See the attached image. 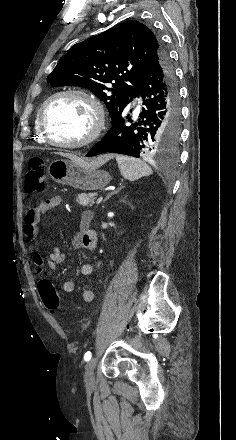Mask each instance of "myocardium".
<instances>
[{
	"label": "myocardium",
	"instance_id": "obj_1",
	"mask_svg": "<svg viewBox=\"0 0 236 440\" xmlns=\"http://www.w3.org/2000/svg\"><path fill=\"white\" fill-rule=\"evenodd\" d=\"M65 96L76 97L85 101L90 106L93 113V125L91 127L90 132L85 138L77 142L55 141L51 138L46 128L45 113L48 106L55 99ZM105 121H106V114H105L104 106L102 105L101 101L93 94L76 88L63 89L53 93L44 101L38 113V124L45 141L50 145L66 148V149L81 148L95 142L99 138V136L101 135L104 129Z\"/></svg>",
	"mask_w": 236,
	"mask_h": 440
}]
</instances>
